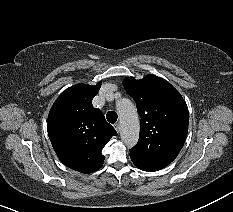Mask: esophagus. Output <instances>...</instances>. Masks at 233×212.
Listing matches in <instances>:
<instances>
[{"label": "esophagus", "mask_w": 233, "mask_h": 212, "mask_svg": "<svg viewBox=\"0 0 233 212\" xmlns=\"http://www.w3.org/2000/svg\"><path fill=\"white\" fill-rule=\"evenodd\" d=\"M113 127H114L115 130L119 133V131H120L119 124H118V123H115V124L113 125Z\"/></svg>", "instance_id": "1"}]
</instances>
